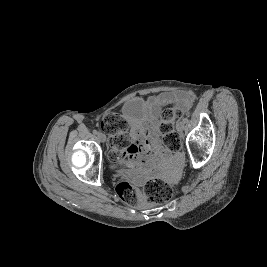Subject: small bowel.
<instances>
[{
    "label": "small bowel",
    "instance_id": "obj_1",
    "mask_svg": "<svg viewBox=\"0 0 267 267\" xmlns=\"http://www.w3.org/2000/svg\"><path fill=\"white\" fill-rule=\"evenodd\" d=\"M192 101L193 96L187 92L161 93L147 100L146 118L131 123L132 151L128 155V161L119 167L118 177L129 182L141 183L148 175L163 174L168 165L178 166L179 157L172 156L164 150L155 126L162 106L174 105L185 111L191 106Z\"/></svg>",
    "mask_w": 267,
    "mask_h": 267
}]
</instances>
